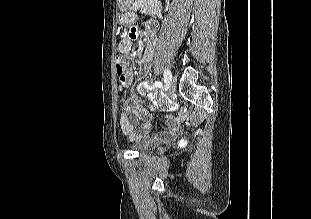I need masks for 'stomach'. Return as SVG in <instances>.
I'll return each instance as SVG.
<instances>
[{
	"instance_id": "obj_1",
	"label": "stomach",
	"mask_w": 311,
	"mask_h": 219,
	"mask_svg": "<svg viewBox=\"0 0 311 219\" xmlns=\"http://www.w3.org/2000/svg\"><path fill=\"white\" fill-rule=\"evenodd\" d=\"M132 3V0L130 1V4ZM118 20L119 22L124 25V26H130L134 20H135V15L127 10H122L121 14L118 15Z\"/></svg>"
}]
</instances>
